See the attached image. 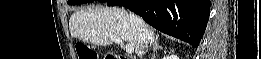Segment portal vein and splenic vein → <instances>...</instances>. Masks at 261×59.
<instances>
[{
	"instance_id": "1",
	"label": "portal vein and splenic vein",
	"mask_w": 261,
	"mask_h": 59,
	"mask_svg": "<svg viewBox=\"0 0 261 59\" xmlns=\"http://www.w3.org/2000/svg\"><path fill=\"white\" fill-rule=\"evenodd\" d=\"M109 39L121 46H124V42L121 38H118L115 36H110ZM125 49L128 54H132L134 52V47L130 44H126Z\"/></svg>"
}]
</instances>
